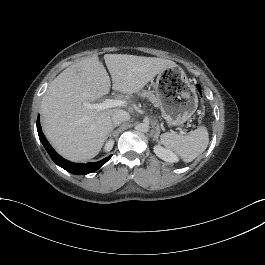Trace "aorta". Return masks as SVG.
I'll list each match as a JSON object with an SVG mask.
<instances>
[{"label":"aorta","mask_w":265,"mask_h":265,"mask_svg":"<svg viewBox=\"0 0 265 265\" xmlns=\"http://www.w3.org/2000/svg\"><path fill=\"white\" fill-rule=\"evenodd\" d=\"M135 129H136L138 132L146 133V132H148V130H149V125L146 124V123H140V124H137V125L135 126Z\"/></svg>","instance_id":"obj_1"}]
</instances>
